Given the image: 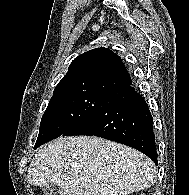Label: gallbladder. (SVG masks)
<instances>
[{"instance_id": "bac80fb5", "label": "gallbladder", "mask_w": 189, "mask_h": 195, "mask_svg": "<svg viewBox=\"0 0 189 195\" xmlns=\"http://www.w3.org/2000/svg\"><path fill=\"white\" fill-rule=\"evenodd\" d=\"M58 190V186L52 183L42 187L44 195H56Z\"/></svg>"}]
</instances>
